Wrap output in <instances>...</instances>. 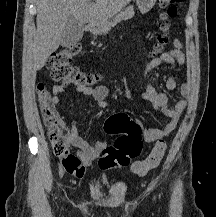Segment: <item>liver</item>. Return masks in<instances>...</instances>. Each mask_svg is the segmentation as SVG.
I'll use <instances>...</instances> for the list:
<instances>
[{
  "instance_id": "1",
  "label": "liver",
  "mask_w": 216,
  "mask_h": 217,
  "mask_svg": "<svg viewBox=\"0 0 216 217\" xmlns=\"http://www.w3.org/2000/svg\"><path fill=\"white\" fill-rule=\"evenodd\" d=\"M131 0H36L37 36L34 48V68L40 70L55 52L61 33L70 17L81 24H102Z\"/></svg>"
}]
</instances>
